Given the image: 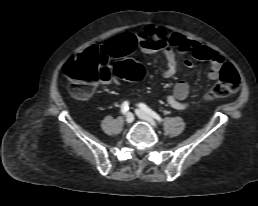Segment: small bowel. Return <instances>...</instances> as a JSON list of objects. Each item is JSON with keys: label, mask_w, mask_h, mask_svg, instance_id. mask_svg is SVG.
<instances>
[{"label": "small bowel", "mask_w": 258, "mask_h": 206, "mask_svg": "<svg viewBox=\"0 0 258 206\" xmlns=\"http://www.w3.org/2000/svg\"><path fill=\"white\" fill-rule=\"evenodd\" d=\"M131 42L134 43V47L138 45L146 53L160 54L161 72L166 78H170L176 73V51L191 54V58L185 60V65L189 68L193 66V59L208 62L210 64L208 72L210 80H217L220 77V71L224 65L223 57L215 50L195 40L187 39L179 33H166L152 27L141 30L137 34L122 33L109 39L103 45H93L89 48L112 57H122L134 49L129 45ZM106 83L116 86L118 81L108 79ZM189 90L188 83L185 81L177 82L172 94L167 97L169 106L176 110L187 109L189 107L187 102Z\"/></svg>", "instance_id": "small-bowel-1"}]
</instances>
